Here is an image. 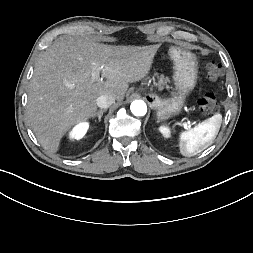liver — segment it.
Masks as SVG:
<instances>
[{
  "instance_id": "6515ba94",
  "label": "liver",
  "mask_w": 253,
  "mask_h": 253,
  "mask_svg": "<svg viewBox=\"0 0 253 253\" xmlns=\"http://www.w3.org/2000/svg\"><path fill=\"white\" fill-rule=\"evenodd\" d=\"M159 45L113 46L83 38L55 42L39 58L28 90L26 119L49 153L63 136L94 117L100 95L122 101L129 82L147 76ZM100 76L92 79V73Z\"/></svg>"
}]
</instances>
